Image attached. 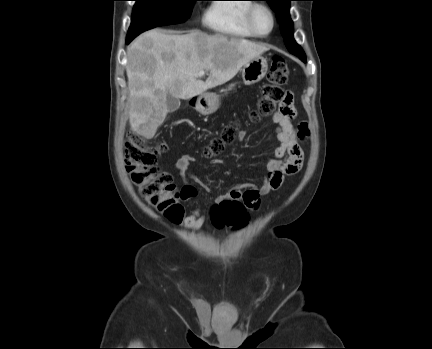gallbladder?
Segmentation results:
<instances>
[{
    "instance_id": "bac80fb5",
    "label": "gallbladder",
    "mask_w": 432,
    "mask_h": 349,
    "mask_svg": "<svg viewBox=\"0 0 432 349\" xmlns=\"http://www.w3.org/2000/svg\"><path fill=\"white\" fill-rule=\"evenodd\" d=\"M166 104L168 107V112L172 113L179 109L180 107V99L175 98L172 95H167Z\"/></svg>"
}]
</instances>
